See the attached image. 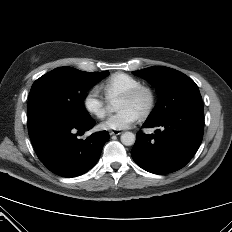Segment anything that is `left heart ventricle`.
Returning a JSON list of instances; mask_svg holds the SVG:
<instances>
[{"instance_id": "left-heart-ventricle-1", "label": "left heart ventricle", "mask_w": 232, "mask_h": 232, "mask_svg": "<svg viewBox=\"0 0 232 232\" xmlns=\"http://www.w3.org/2000/svg\"><path fill=\"white\" fill-rule=\"evenodd\" d=\"M147 102H148V96L146 94H142L135 100L119 99L117 102V110L120 111L123 109H131L137 112L138 114H141Z\"/></svg>"}]
</instances>
